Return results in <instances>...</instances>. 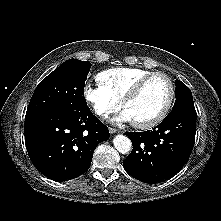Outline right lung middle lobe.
Listing matches in <instances>:
<instances>
[{
	"label": "right lung middle lobe",
	"instance_id": "1",
	"mask_svg": "<svg viewBox=\"0 0 221 221\" xmlns=\"http://www.w3.org/2000/svg\"><path fill=\"white\" fill-rule=\"evenodd\" d=\"M91 63L69 59L36 87L26 114L42 111L78 113L88 110L84 85Z\"/></svg>",
	"mask_w": 221,
	"mask_h": 221
}]
</instances>
